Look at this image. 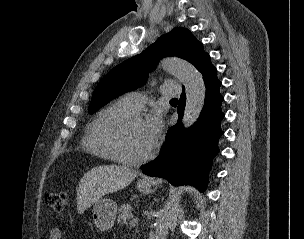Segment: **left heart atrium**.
<instances>
[{
    "instance_id": "1",
    "label": "left heart atrium",
    "mask_w": 304,
    "mask_h": 239,
    "mask_svg": "<svg viewBox=\"0 0 304 239\" xmlns=\"http://www.w3.org/2000/svg\"><path fill=\"white\" fill-rule=\"evenodd\" d=\"M163 131V119L156 113L145 123V132L151 147L156 145Z\"/></svg>"
}]
</instances>
